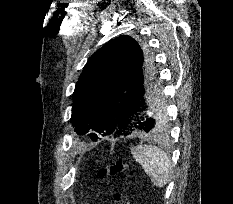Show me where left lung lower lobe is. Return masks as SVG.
<instances>
[{
	"instance_id": "0a47b994",
	"label": "left lung lower lobe",
	"mask_w": 233,
	"mask_h": 204,
	"mask_svg": "<svg viewBox=\"0 0 233 204\" xmlns=\"http://www.w3.org/2000/svg\"><path fill=\"white\" fill-rule=\"evenodd\" d=\"M154 66L145 67L135 76L118 108L121 136L160 132L155 110L162 96Z\"/></svg>"
}]
</instances>
